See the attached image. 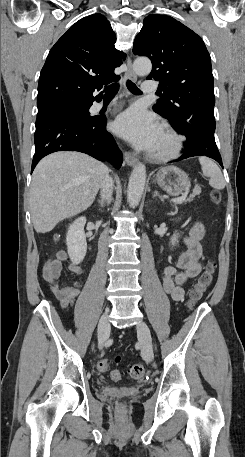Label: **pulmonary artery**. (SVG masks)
<instances>
[{
  "label": "pulmonary artery",
  "instance_id": "e3ab8cb5",
  "mask_svg": "<svg viewBox=\"0 0 245 457\" xmlns=\"http://www.w3.org/2000/svg\"><path fill=\"white\" fill-rule=\"evenodd\" d=\"M157 80H141L140 82V93L142 95H155L156 89L159 88ZM103 103H95L93 106V112H98L103 108Z\"/></svg>",
  "mask_w": 245,
  "mask_h": 457
}]
</instances>
